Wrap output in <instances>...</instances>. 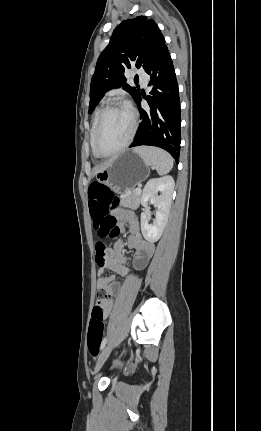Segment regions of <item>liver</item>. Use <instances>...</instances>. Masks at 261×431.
<instances>
[{"instance_id": "obj_1", "label": "liver", "mask_w": 261, "mask_h": 431, "mask_svg": "<svg viewBox=\"0 0 261 431\" xmlns=\"http://www.w3.org/2000/svg\"><path fill=\"white\" fill-rule=\"evenodd\" d=\"M113 159H114V158H113ZM113 159H110L109 161L105 162L104 164H102V165L98 166V167L95 169V173H97L98 171H100L101 169H103L104 167H106L109 163H111V162H112V160H113Z\"/></svg>"}]
</instances>
